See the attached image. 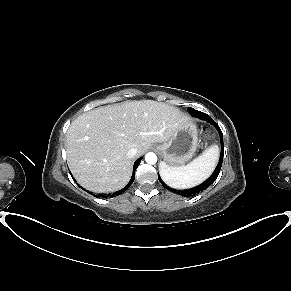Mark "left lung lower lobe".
<instances>
[{"label": "left lung lower lobe", "instance_id": "0a47b994", "mask_svg": "<svg viewBox=\"0 0 291 291\" xmlns=\"http://www.w3.org/2000/svg\"><path fill=\"white\" fill-rule=\"evenodd\" d=\"M192 116L197 117V118L202 119V120H205L207 122H210L211 124H213L217 128L219 135H220V140H221V153H220L218 165H217L214 173L205 182H203L202 184H200L199 186H196L194 188H191L188 190L171 189L158 176V179H159L160 183L164 186V188H166L167 190L172 191L174 193H177L181 196H184V197H191V196H195L196 194H199L200 192L206 190L216 180L217 176L219 175L221 166H222L223 154H224L223 133H222L221 129L219 128V126L214 122V120L209 115H207L203 112L197 111V110H194L192 112Z\"/></svg>", "mask_w": 291, "mask_h": 291}]
</instances>
